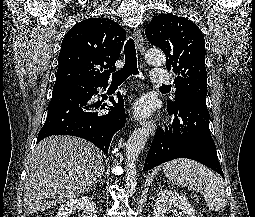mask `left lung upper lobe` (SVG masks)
<instances>
[{
	"instance_id": "left-lung-upper-lobe-1",
	"label": "left lung upper lobe",
	"mask_w": 255,
	"mask_h": 217,
	"mask_svg": "<svg viewBox=\"0 0 255 217\" xmlns=\"http://www.w3.org/2000/svg\"><path fill=\"white\" fill-rule=\"evenodd\" d=\"M145 34L165 53L168 70L176 74L175 102L168 100L167 108L175 109L190 100L206 105L205 40L199 27L187 18L160 14L148 24Z\"/></svg>"
}]
</instances>
